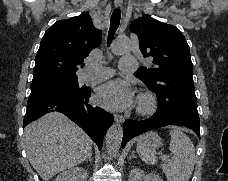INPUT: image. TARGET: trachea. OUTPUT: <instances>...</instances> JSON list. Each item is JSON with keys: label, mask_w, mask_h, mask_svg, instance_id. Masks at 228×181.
Segmentation results:
<instances>
[{"label": "trachea", "mask_w": 228, "mask_h": 181, "mask_svg": "<svg viewBox=\"0 0 228 181\" xmlns=\"http://www.w3.org/2000/svg\"><path fill=\"white\" fill-rule=\"evenodd\" d=\"M120 19H121V10L119 8H116L111 15L110 30L108 32V39H107L108 47L111 45L114 34L120 25Z\"/></svg>", "instance_id": "trachea-1"}]
</instances>
